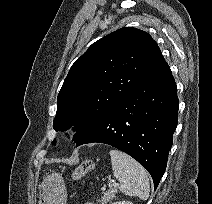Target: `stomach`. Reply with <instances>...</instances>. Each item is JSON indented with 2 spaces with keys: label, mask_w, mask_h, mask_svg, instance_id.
<instances>
[{
  "label": "stomach",
  "mask_w": 212,
  "mask_h": 204,
  "mask_svg": "<svg viewBox=\"0 0 212 204\" xmlns=\"http://www.w3.org/2000/svg\"><path fill=\"white\" fill-rule=\"evenodd\" d=\"M66 187L60 174L47 175L40 186L39 204H66Z\"/></svg>",
  "instance_id": "1"
}]
</instances>
